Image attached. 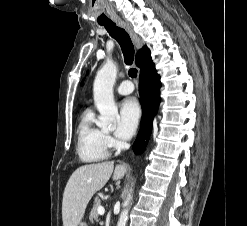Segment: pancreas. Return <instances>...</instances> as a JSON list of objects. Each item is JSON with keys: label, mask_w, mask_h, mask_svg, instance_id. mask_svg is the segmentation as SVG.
Instances as JSON below:
<instances>
[{"label": "pancreas", "mask_w": 247, "mask_h": 226, "mask_svg": "<svg viewBox=\"0 0 247 226\" xmlns=\"http://www.w3.org/2000/svg\"><path fill=\"white\" fill-rule=\"evenodd\" d=\"M99 206H101L100 199L95 198L94 205H93V208H92V210L90 212V216H89L91 223H95L98 221L99 214H98L97 209Z\"/></svg>", "instance_id": "1"}]
</instances>
